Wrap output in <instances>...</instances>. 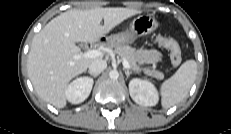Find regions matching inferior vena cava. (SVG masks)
Masks as SVG:
<instances>
[{
  "label": "inferior vena cava",
  "instance_id": "1",
  "mask_svg": "<svg viewBox=\"0 0 231 134\" xmlns=\"http://www.w3.org/2000/svg\"><path fill=\"white\" fill-rule=\"evenodd\" d=\"M107 67V62L102 59H95L89 65V72L91 74L99 75Z\"/></svg>",
  "mask_w": 231,
  "mask_h": 134
}]
</instances>
